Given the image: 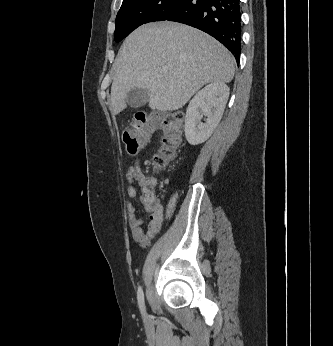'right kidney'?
I'll list each match as a JSON object with an SVG mask.
<instances>
[{
    "label": "right kidney",
    "mask_w": 333,
    "mask_h": 346,
    "mask_svg": "<svg viewBox=\"0 0 333 346\" xmlns=\"http://www.w3.org/2000/svg\"><path fill=\"white\" fill-rule=\"evenodd\" d=\"M229 97V87L214 82L200 91L190 101L185 116V137L189 144L198 145L206 141L223 115ZM206 117L205 122L201 120Z\"/></svg>",
    "instance_id": "right-kidney-1"
}]
</instances>
